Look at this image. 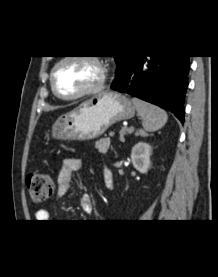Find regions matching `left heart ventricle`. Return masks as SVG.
Returning a JSON list of instances; mask_svg holds the SVG:
<instances>
[{"label":"left heart ventricle","mask_w":218,"mask_h":277,"mask_svg":"<svg viewBox=\"0 0 218 277\" xmlns=\"http://www.w3.org/2000/svg\"><path fill=\"white\" fill-rule=\"evenodd\" d=\"M96 77V69L89 63L69 61L56 71L55 86L60 94L72 96L90 86Z\"/></svg>","instance_id":"obj_1"}]
</instances>
